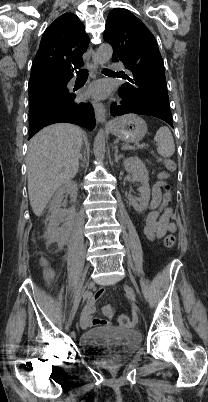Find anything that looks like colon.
Wrapping results in <instances>:
<instances>
[{
	"mask_svg": "<svg viewBox=\"0 0 208 402\" xmlns=\"http://www.w3.org/2000/svg\"><path fill=\"white\" fill-rule=\"evenodd\" d=\"M163 162H164L166 171H168V172H174L175 171L176 163H175L174 160L169 159V158H165V159H163ZM169 190H170V185L167 184L164 187L165 195H167L169 193ZM161 205H162V207L167 205L166 198L163 199ZM175 243H176V237L173 234H168L164 238V245L166 247H168V248L173 247L175 245ZM39 263L40 264H45L46 263V258L45 257H40L39 258ZM46 273L47 274H52L53 273V268L52 267H47L46 268ZM117 321L121 326H127L129 324L130 318H129L127 313H121V314L118 315Z\"/></svg>",
	"mask_w": 208,
	"mask_h": 402,
	"instance_id": "obj_1",
	"label": "colon"
}]
</instances>
